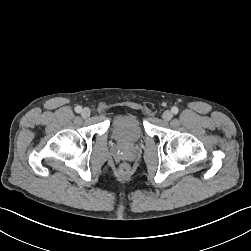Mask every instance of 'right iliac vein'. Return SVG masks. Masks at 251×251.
Segmentation results:
<instances>
[{"mask_svg": "<svg viewBox=\"0 0 251 251\" xmlns=\"http://www.w3.org/2000/svg\"><path fill=\"white\" fill-rule=\"evenodd\" d=\"M91 114V111L89 108H84L82 111H81V115L83 118H88Z\"/></svg>", "mask_w": 251, "mask_h": 251, "instance_id": "obj_1", "label": "right iliac vein"}]
</instances>
